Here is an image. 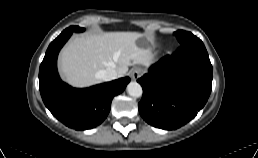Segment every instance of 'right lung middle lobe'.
I'll return each mask as SVG.
<instances>
[{
  "label": "right lung middle lobe",
  "mask_w": 258,
  "mask_h": 158,
  "mask_svg": "<svg viewBox=\"0 0 258 158\" xmlns=\"http://www.w3.org/2000/svg\"><path fill=\"white\" fill-rule=\"evenodd\" d=\"M67 29H68V31H71V32H73V31H75V32H82V31H84V28H80L78 26H71V27H69Z\"/></svg>",
  "instance_id": "dd1d6c3e"
}]
</instances>
